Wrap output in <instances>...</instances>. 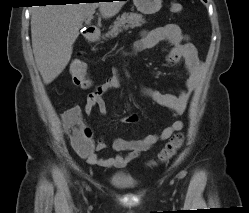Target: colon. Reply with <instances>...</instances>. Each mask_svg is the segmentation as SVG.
Wrapping results in <instances>:
<instances>
[{"label": "colon", "instance_id": "colon-1", "mask_svg": "<svg viewBox=\"0 0 249 213\" xmlns=\"http://www.w3.org/2000/svg\"><path fill=\"white\" fill-rule=\"evenodd\" d=\"M171 10L175 13H181L183 11V6L178 2H173L171 4ZM86 71V63L80 57H76L71 61L70 73L72 81L75 85L80 86L82 88H87L91 85V81L87 77ZM70 134H75L76 140L78 141V145H80V137L77 135L76 131L73 129L70 131ZM183 141L184 138L182 134L179 133L174 135L162 149L159 155V161L166 162L171 159L182 147Z\"/></svg>", "mask_w": 249, "mask_h": 213}]
</instances>
